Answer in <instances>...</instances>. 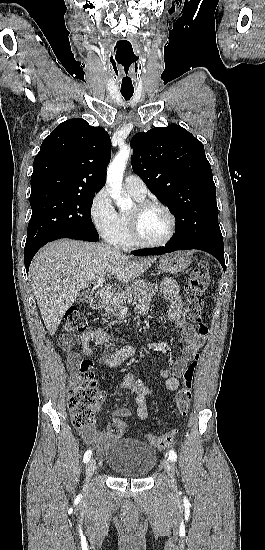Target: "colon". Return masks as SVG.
Masks as SVG:
<instances>
[{
	"label": "colon",
	"instance_id": "colon-1",
	"mask_svg": "<svg viewBox=\"0 0 265 550\" xmlns=\"http://www.w3.org/2000/svg\"><path fill=\"white\" fill-rule=\"evenodd\" d=\"M209 282V266L206 262L195 265L188 273L186 284V314L188 320L201 335L208 332L203 317V295ZM87 328V322L77 308H70L64 317L62 331L65 334L81 333ZM200 354L187 366L182 376V387L175 396L177 410L181 416H186L193 395V381L198 366ZM105 393L96 384L92 371V363L83 360L79 366V376L71 383L68 390L67 405L71 420L76 428H88L95 423L97 408L104 400ZM112 436L120 437L127 431L126 423L119 417L108 424ZM173 429L161 436L147 435V440L153 446L164 449L169 447L177 436Z\"/></svg>",
	"mask_w": 265,
	"mask_h": 550
}]
</instances>
